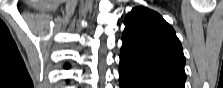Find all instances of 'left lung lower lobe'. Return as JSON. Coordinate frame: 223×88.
Wrapping results in <instances>:
<instances>
[{
  "mask_svg": "<svg viewBox=\"0 0 223 88\" xmlns=\"http://www.w3.org/2000/svg\"><path fill=\"white\" fill-rule=\"evenodd\" d=\"M120 88H177L174 85L142 76L131 69L119 65Z\"/></svg>",
  "mask_w": 223,
  "mask_h": 88,
  "instance_id": "1",
  "label": "left lung lower lobe"
}]
</instances>
